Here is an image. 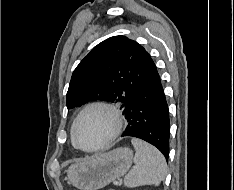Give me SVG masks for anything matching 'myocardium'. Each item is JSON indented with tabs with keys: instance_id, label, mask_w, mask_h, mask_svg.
Masks as SVG:
<instances>
[{
	"instance_id": "myocardium-1",
	"label": "myocardium",
	"mask_w": 234,
	"mask_h": 190,
	"mask_svg": "<svg viewBox=\"0 0 234 190\" xmlns=\"http://www.w3.org/2000/svg\"><path fill=\"white\" fill-rule=\"evenodd\" d=\"M93 110H101V111L106 112L113 122V129L106 140H104L103 142H101L100 144H98L94 147L86 148V147H83L82 145H80L78 140H77V129H78V125H79L81 119L88 112L93 111ZM122 127H123L122 117H121L119 111L114 106H112L106 102H100V101L92 102V103L86 105L80 111V113L77 115V117L72 125V130H71L72 142L77 148H79L82 151L95 152V151H98L100 149L105 148L110 143H112L120 134Z\"/></svg>"
}]
</instances>
